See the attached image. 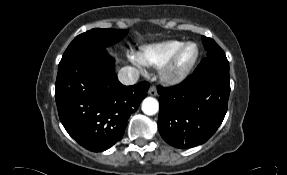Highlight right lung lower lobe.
I'll list each match as a JSON object with an SVG mask.
<instances>
[{
	"mask_svg": "<svg viewBox=\"0 0 287 175\" xmlns=\"http://www.w3.org/2000/svg\"><path fill=\"white\" fill-rule=\"evenodd\" d=\"M105 49L82 52L59 63L55 98L61 123L84 148L107 150L123 136L129 116L149 84L122 85Z\"/></svg>",
	"mask_w": 287,
	"mask_h": 175,
	"instance_id": "1",
	"label": "right lung lower lobe"
}]
</instances>
